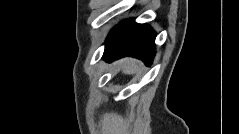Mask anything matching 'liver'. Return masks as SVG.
<instances>
[{"mask_svg": "<svg viewBox=\"0 0 239 134\" xmlns=\"http://www.w3.org/2000/svg\"><path fill=\"white\" fill-rule=\"evenodd\" d=\"M115 65H117V68L122 70L124 74L133 75L138 71L140 62L135 59L126 58L116 62Z\"/></svg>", "mask_w": 239, "mask_h": 134, "instance_id": "obj_1", "label": "liver"}]
</instances>
